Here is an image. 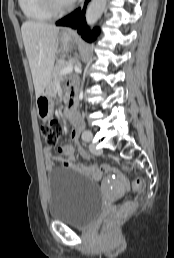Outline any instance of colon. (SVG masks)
Listing matches in <instances>:
<instances>
[{"label": "colon", "mask_w": 174, "mask_h": 258, "mask_svg": "<svg viewBox=\"0 0 174 258\" xmlns=\"http://www.w3.org/2000/svg\"><path fill=\"white\" fill-rule=\"evenodd\" d=\"M63 133V125L58 120L47 121L41 126V134L47 146H55ZM142 187V181L135 179L132 183V190L138 192ZM134 201H126L104 222V231L110 233L118 223L135 208Z\"/></svg>", "instance_id": "obj_1"}]
</instances>
